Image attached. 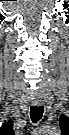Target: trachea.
<instances>
[{"label": "trachea", "mask_w": 69, "mask_h": 135, "mask_svg": "<svg viewBox=\"0 0 69 135\" xmlns=\"http://www.w3.org/2000/svg\"><path fill=\"white\" fill-rule=\"evenodd\" d=\"M44 112V107L43 106H33L30 109V117L33 123L38 122Z\"/></svg>", "instance_id": "1"}]
</instances>
